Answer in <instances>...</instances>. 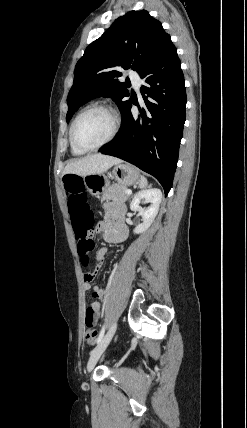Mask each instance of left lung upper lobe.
Masks as SVG:
<instances>
[{
    "instance_id": "1",
    "label": "left lung upper lobe",
    "mask_w": 247,
    "mask_h": 428,
    "mask_svg": "<svg viewBox=\"0 0 247 428\" xmlns=\"http://www.w3.org/2000/svg\"><path fill=\"white\" fill-rule=\"evenodd\" d=\"M174 48L160 21L146 10L130 11L85 50L76 64L74 82L68 93L67 123L84 103L96 97H111L121 114L129 91L116 77L118 67L141 74L158 57Z\"/></svg>"
}]
</instances>
